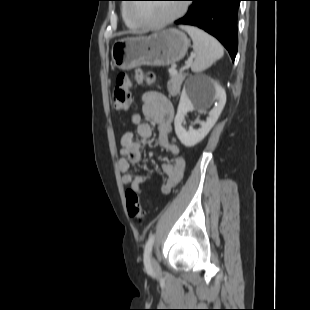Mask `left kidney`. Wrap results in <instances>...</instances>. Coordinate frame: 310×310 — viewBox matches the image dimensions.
Listing matches in <instances>:
<instances>
[{"label": "left kidney", "mask_w": 310, "mask_h": 310, "mask_svg": "<svg viewBox=\"0 0 310 310\" xmlns=\"http://www.w3.org/2000/svg\"><path fill=\"white\" fill-rule=\"evenodd\" d=\"M211 91L214 92L217 105L209 112V117L205 122L201 123V127L198 130L193 129L192 127H189V129L186 130L183 127V124L186 123L185 115L194 109L192 99L197 97V106L202 107L203 98H205L207 94L211 93ZM225 103V90L210 79H205L199 82L190 91H187L186 89L183 90L174 120L175 133L180 142L186 147H193L202 141L217 122Z\"/></svg>", "instance_id": "left-kidney-1"}]
</instances>
